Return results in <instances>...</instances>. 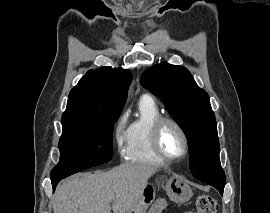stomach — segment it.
I'll return each mask as SVG.
<instances>
[{"instance_id":"1","label":"stomach","mask_w":270,"mask_h":213,"mask_svg":"<svg viewBox=\"0 0 270 213\" xmlns=\"http://www.w3.org/2000/svg\"><path fill=\"white\" fill-rule=\"evenodd\" d=\"M156 185L158 188H162L169 199L176 203L187 202L193 194L192 189L184 179L173 175L164 169L159 170L156 178ZM154 198V187L146 186L141 196L126 213H146Z\"/></svg>"}]
</instances>
